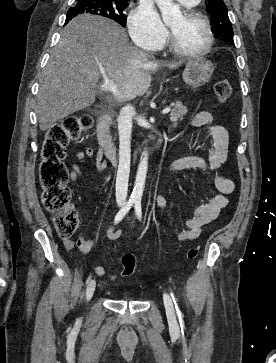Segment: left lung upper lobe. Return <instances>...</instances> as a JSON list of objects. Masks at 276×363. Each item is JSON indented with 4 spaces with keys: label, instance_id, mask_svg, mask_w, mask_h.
I'll return each mask as SVG.
<instances>
[{
    "label": "left lung upper lobe",
    "instance_id": "obj_1",
    "mask_svg": "<svg viewBox=\"0 0 276 363\" xmlns=\"http://www.w3.org/2000/svg\"><path fill=\"white\" fill-rule=\"evenodd\" d=\"M207 11L211 17V30L215 37H224L232 43L233 29L228 17V9L223 0H211L207 5Z\"/></svg>",
    "mask_w": 276,
    "mask_h": 363
}]
</instances>
